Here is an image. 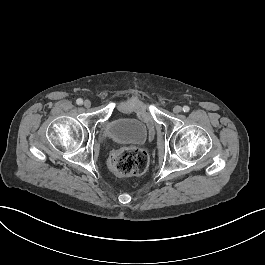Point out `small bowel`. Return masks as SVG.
Wrapping results in <instances>:
<instances>
[{"mask_svg":"<svg viewBox=\"0 0 265 265\" xmlns=\"http://www.w3.org/2000/svg\"><path fill=\"white\" fill-rule=\"evenodd\" d=\"M117 107L122 112H130L131 110L137 111L141 114V118L143 120H148L150 118L149 108L139 102L137 99H132L130 101L125 102L124 100H119L117 102ZM150 135H152V123H148Z\"/></svg>","mask_w":265,"mask_h":265,"instance_id":"small-bowel-1","label":"small bowel"}]
</instances>
